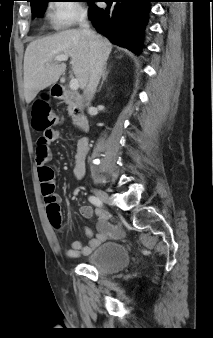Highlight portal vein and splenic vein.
Wrapping results in <instances>:
<instances>
[{
  "instance_id": "1",
  "label": "portal vein and splenic vein",
  "mask_w": 213,
  "mask_h": 338,
  "mask_svg": "<svg viewBox=\"0 0 213 338\" xmlns=\"http://www.w3.org/2000/svg\"><path fill=\"white\" fill-rule=\"evenodd\" d=\"M56 62H62V61H67L68 56L67 55H58L54 59ZM48 65V64H47ZM79 88V82L77 79L72 78L70 81V89L73 91H76Z\"/></svg>"
}]
</instances>
